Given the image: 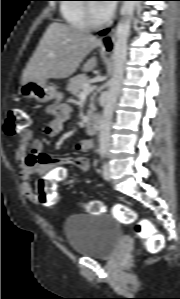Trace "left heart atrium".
Wrapping results in <instances>:
<instances>
[{
	"mask_svg": "<svg viewBox=\"0 0 180 299\" xmlns=\"http://www.w3.org/2000/svg\"><path fill=\"white\" fill-rule=\"evenodd\" d=\"M111 2H113V1H107L106 3H103V4L100 5L101 9L104 11V13L107 16H110L115 10L116 4L111 3Z\"/></svg>",
	"mask_w": 180,
	"mask_h": 299,
	"instance_id": "39dd6f15",
	"label": "left heart atrium"
}]
</instances>
